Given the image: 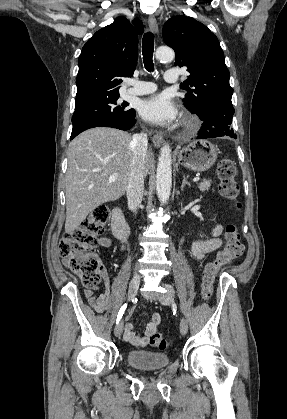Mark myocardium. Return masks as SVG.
Returning <instances> with one entry per match:
<instances>
[{
  "label": "myocardium",
  "instance_id": "obj_1",
  "mask_svg": "<svg viewBox=\"0 0 287 419\" xmlns=\"http://www.w3.org/2000/svg\"><path fill=\"white\" fill-rule=\"evenodd\" d=\"M185 126H186L187 130H189V131H193V130H195V129H196L197 124L195 123V121H194V120H192V119H187V120L185 121Z\"/></svg>",
  "mask_w": 287,
  "mask_h": 419
}]
</instances>
